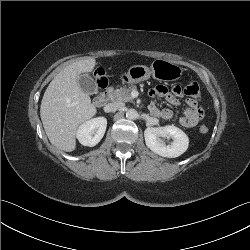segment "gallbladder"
<instances>
[{"instance_id":"obj_1","label":"gallbladder","mask_w":250,"mask_h":250,"mask_svg":"<svg viewBox=\"0 0 250 250\" xmlns=\"http://www.w3.org/2000/svg\"><path fill=\"white\" fill-rule=\"evenodd\" d=\"M78 84L82 88V90L88 94L97 93L98 86L94 79L88 74H82L78 78Z\"/></svg>"}]
</instances>
